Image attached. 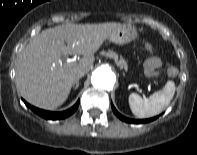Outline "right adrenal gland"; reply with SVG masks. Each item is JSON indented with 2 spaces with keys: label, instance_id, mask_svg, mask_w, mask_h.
<instances>
[{
  "label": "right adrenal gland",
  "instance_id": "right-adrenal-gland-1",
  "mask_svg": "<svg viewBox=\"0 0 197 155\" xmlns=\"http://www.w3.org/2000/svg\"><path fill=\"white\" fill-rule=\"evenodd\" d=\"M80 78H82V76H78L75 80V82L73 83V89H77L79 87V80Z\"/></svg>",
  "mask_w": 197,
  "mask_h": 155
}]
</instances>
